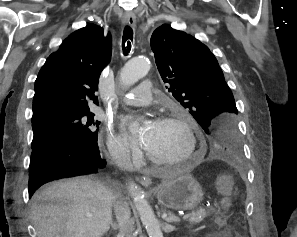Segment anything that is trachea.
Listing matches in <instances>:
<instances>
[{"mask_svg": "<svg viewBox=\"0 0 297 237\" xmlns=\"http://www.w3.org/2000/svg\"><path fill=\"white\" fill-rule=\"evenodd\" d=\"M133 41V30L130 26H126L123 31L122 37V50L123 54L126 56L131 51V42Z\"/></svg>", "mask_w": 297, "mask_h": 237, "instance_id": "1", "label": "trachea"}]
</instances>
